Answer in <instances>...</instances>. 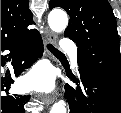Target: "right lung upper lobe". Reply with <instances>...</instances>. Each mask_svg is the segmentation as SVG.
<instances>
[{
    "mask_svg": "<svg viewBox=\"0 0 121 113\" xmlns=\"http://www.w3.org/2000/svg\"><path fill=\"white\" fill-rule=\"evenodd\" d=\"M29 0H1V47L14 43L34 32Z\"/></svg>",
    "mask_w": 121,
    "mask_h": 113,
    "instance_id": "cb5924a9",
    "label": "right lung upper lobe"
}]
</instances>
